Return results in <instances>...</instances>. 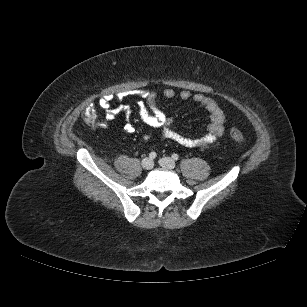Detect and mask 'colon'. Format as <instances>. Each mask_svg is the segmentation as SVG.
I'll list each match as a JSON object with an SVG mask.
<instances>
[{"label": "colon", "instance_id": "5ec220e1", "mask_svg": "<svg viewBox=\"0 0 307 307\" xmlns=\"http://www.w3.org/2000/svg\"><path fill=\"white\" fill-rule=\"evenodd\" d=\"M83 118L86 121V123H88L90 125L95 124L96 111H95V108L92 104L88 105L85 108L84 113H83ZM230 135L237 145L242 146L245 143V138H244L242 132L240 131L239 128H237L234 125L230 127Z\"/></svg>", "mask_w": 307, "mask_h": 307}]
</instances>
